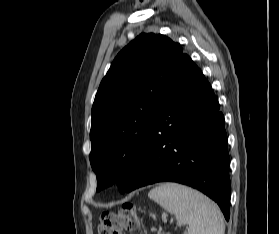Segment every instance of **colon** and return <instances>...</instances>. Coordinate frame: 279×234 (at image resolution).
Returning <instances> with one entry per match:
<instances>
[{
    "label": "colon",
    "instance_id": "5ec220e1",
    "mask_svg": "<svg viewBox=\"0 0 279 234\" xmlns=\"http://www.w3.org/2000/svg\"><path fill=\"white\" fill-rule=\"evenodd\" d=\"M139 214L132 203H125L117 212H103L100 219L99 234H122L137 228Z\"/></svg>",
    "mask_w": 279,
    "mask_h": 234
}]
</instances>
